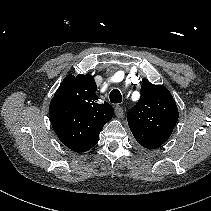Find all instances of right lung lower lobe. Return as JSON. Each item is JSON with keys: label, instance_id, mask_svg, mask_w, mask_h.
Here are the masks:
<instances>
[{"label": "right lung lower lobe", "instance_id": "1", "mask_svg": "<svg viewBox=\"0 0 211 211\" xmlns=\"http://www.w3.org/2000/svg\"><path fill=\"white\" fill-rule=\"evenodd\" d=\"M73 104L62 98H53L50 103V120L54 130L72 126ZM99 134L93 137L80 151H87L98 142Z\"/></svg>", "mask_w": 211, "mask_h": 211}]
</instances>
